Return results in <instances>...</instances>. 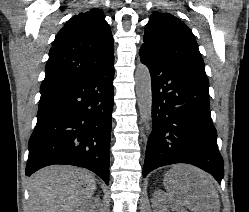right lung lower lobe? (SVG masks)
<instances>
[{
  "instance_id": "1",
  "label": "right lung lower lobe",
  "mask_w": 249,
  "mask_h": 212,
  "mask_svg": "<svg viewBox=\"0 0 249 212\" xmlns=\"http://www.w3.org/2000/svg\"><path fill=\"white\" fill-rule=\"evenodd\" d=\"M113 78L114 60L92 74L40 90L26 175L67 164L87 168L108 184Z\"/></svg>"
}]
</instances>
